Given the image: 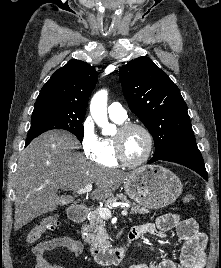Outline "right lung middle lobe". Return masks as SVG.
Instances as JSON below:
<instances>
[{"label":"right lung middle lobe","instance_id":"1","mask_svg":"<svg viewBox=\"0 0 221 268\" xmlns=\"http://www.w3.org/2000/svg\"><path fill=\"white\" fill-rule=\"evenodd\" d=\"M84 117L85 114L59 109L33 111L27 138H35L52 129H63L74 134L82 142L84 134L82 122Z\"/></svg>","mask_w":221,"mask_h":268}]
</instances>
